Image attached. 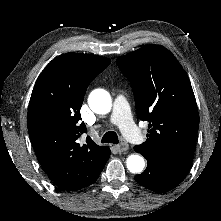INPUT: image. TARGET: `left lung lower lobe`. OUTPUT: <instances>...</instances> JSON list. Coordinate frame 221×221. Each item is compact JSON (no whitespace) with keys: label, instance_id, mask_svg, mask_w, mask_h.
<instances>
[{"label":"left lung lower lobe","instance_id":"1","mask_svg":"<svg viewBox=\"0 0 221 221\" xmlns=\"http://www.w3.org/2000/svg\"><path fill=\"white\" fill-rule=\"evenodd\" d=\"M190 166L163 160H148L146 170L135 176L136 182L157 193L175 188L187 175Z\"/></svg>","mask_w":221,"mask_h":221}]
</instances>
